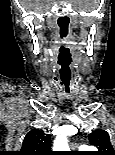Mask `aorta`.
<instances>
[{"label": "aorta", "mask_w": 115, "mask_h": 155, "mask_svg": "<svg viewBox=\"0 0 115 155\" xmlns=\"http://www.w3.org/2000/svg\"><path fill=\"white\" fill-rule=\"evenodd\" d=\"M55 151H67L69 149L67 139L64 135L58 136L53 144Z\"/></svg>", "instance_id": "762f6f07"}]
</instances>
